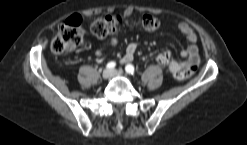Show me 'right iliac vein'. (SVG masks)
Instances as JSON below:
<instances>
[{
  "label": "right iliac vein",
  "instance_id": "obj_1",
  "mask_svg": "<svg viewBox=\"0 0 247 145\" xmlns=\"http://www.w3.org/2000/svg\"><path fill=\"white\" fill-rule=\"evenodd\" d=\"M112 76V71L110 69H105L102 72V78L103 79H109Z\"/></svg>",
  "mask_w": 247,
  "mask_h": 145
}]
</instances>
